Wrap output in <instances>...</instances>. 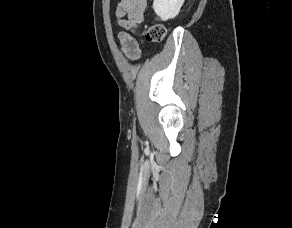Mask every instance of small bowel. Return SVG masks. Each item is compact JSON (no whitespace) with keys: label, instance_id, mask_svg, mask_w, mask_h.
Segmentation results:
<instances>
[{"label":"small bowel","instance_id":"obj_1","mask_svg":"<svg viewBox=\"0 0 292 228\" xmlns=\"http://www.w3.org/2000/svg\"><path fill=\"white\" fill-rule=\"evenodd\" d=\"M148 0H120L116 7L118 24L125 30L141 24ZM122 51L130 59H137L141 55L140 42L127 31L118 34Z\"/></svg>","mask_w":292,"mask_h":228}]
</instances>
